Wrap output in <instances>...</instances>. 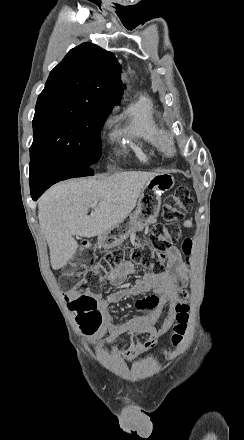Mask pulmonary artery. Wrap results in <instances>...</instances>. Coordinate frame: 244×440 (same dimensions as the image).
<instances>
[{"instance_id":"e3ab8cb5","label":"pulmonary artery","mask_w":244,"mask_h":440,"mask_svg":"<svg viewBox=\"0 0 244 440\" xmlns=\"http://www.w3.org/2000/svg\"><path fill=\"white\" fill-rule=\"evenodd\" d=\"M141 100L142 101H147L148 100V95L147 94H142L141 95Z\"/></svg>"}]
</instances>
